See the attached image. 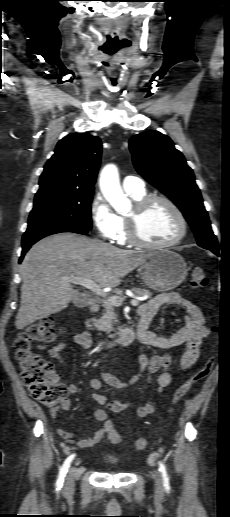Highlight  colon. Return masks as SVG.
<instances>
[{"mask_svg": "<svg viewBox=\"0 0 230 517\" xmlns=\"http://www.w3.org/2000/svg\"><path fill=\"white\" fill-rule=\"evenodd\" d=\"M208 284V277L203 268H196L192 273L191 285L194 288H203ZM216 331V327H213ZM54 339L53 322L49 318L39 319L22 330L14 342V359L17 363L25 386L31 395L46 407H55L67 394V387L60 382L53 364L32 351L33 342H50ZM214 359L210 358L203 366L197 369L172 394L169 412L191 388L211 372ZM108 438L112 443L120 440L114 431L112 423L108 426ZM147 441L138 437L134 441L137 450H144Z\"/></svg>", "mask_w": 230, "mask_h": 517, "instance_id": "1", "label": "colon"}]
</instances>
